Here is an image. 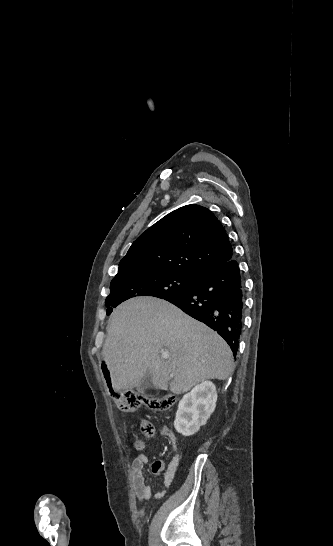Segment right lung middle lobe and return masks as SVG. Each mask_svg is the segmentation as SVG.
<instances>
[{
    "instance_id": "obj_1",
    "label": "right lung middle lobe",
    "mask_w": 333,
    "mask_h": 546,
    "mask_svg": "<svg viewBox=\"0 0 333 546\" xmlns=\"http://www.w3.org/2000/svg\"><path fill=\"white\" fill-rule=\"evenodd\" d=\"M199 277L174 272H144L139 269L118 271L110 285V294L105 300L107 307H116L136 296H154L164 299L187 292L195 286ZM112 308L107 309L109 315Z\"/></svg>"
}]
</instances>
